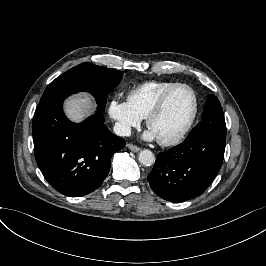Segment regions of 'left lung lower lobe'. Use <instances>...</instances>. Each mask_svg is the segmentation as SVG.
I'll list each match as a JSON object with an SVG mask.
<instances>
[{"instance_id": "obj_1", "label": "left lung lower lobe", "mask_w": 266, "mask_h": 266, "mask_svg": "<svg viewBox=\"0 0 266 266\" xmlns=\"http://www.w3.org/2000/svg\"><path fill=\"white\" fill-rule=\"evenodd\" d=\"M225 143L224 135L199 133L159 153L147 178L152 190L171 202L201 195L221 168Z\"/></svg>"}]
</instances>
